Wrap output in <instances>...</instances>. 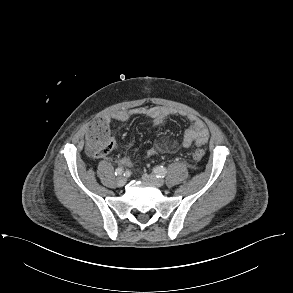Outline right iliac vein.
<instances>
[{
	"label": "right iliac vein",
	"instance_id": "1",
	"mask_svg": "<svg viewBox=\"0 0 293 293\" xmlns=\"http://www.w3.org/2000/svg\"><path fill=\"white\" fill-rule=\"evenodd\" d=\"M126 182H127V179H126V177H124V176H119V177L117 178V185H118L119 187H123V186L126 184Z\"/></svg>",
	"mask_w": 293,
	"mask_h": 293
}]
</instances>
